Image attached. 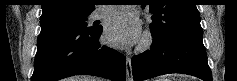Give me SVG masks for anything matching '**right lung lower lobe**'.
<instances>
[{
  "mask_svg": "<svg viewBox=\"0 0 237 81\" xmlns=\"http://www.w3.org/2000/svg\"><path fill=\"white\" fill-rule=\"evenodd\" d=\"M101 33L102 27L41 26L31 81H57L79 74L125 81L126 59L100 45Z\"/></svg>",
  "mask_w": 237,
  "mask_h": 81,
  "instance_id": "1",
  "label": "right lung lower lobe"
}]
</instances>
